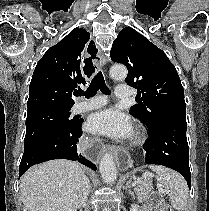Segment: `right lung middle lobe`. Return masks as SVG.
<instances>
[{
	"label": "right lung middle lobe",
	"instance_id": "1",
	"mask_svg": "<svg viewBox=\"0 0 209 211\" xmlns=\"http://www.w3.org/2000/svg\"><path fill=\"white\" fill-rule=\"evenodd\" d=\"M70 109L50 107L28 112L24 150L48 134L77 123L70 118Z\"/></svg>",
	"mask_w": 209,
	"mask_h": 211
}]
</instances>
